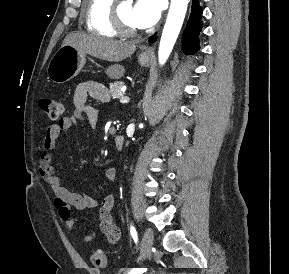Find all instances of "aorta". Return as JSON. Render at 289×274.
<instances>
[{
	"label": "aorta",
	"mask_w": 289,
	"mask_h": 274,
	"mask_svg": "<svg viewBox=\"0 0 289 274\" xmlns=\"http://www.w3.org/2000/svg\"><path fill=\"white\" fill-rule=\"evenodd\" d=\"M189 0H171L167 20L162 32L158 60L159 64L166 63L181 30Z\"/></svg>",
	"instance_id": "obj_1"
}]
</instances>
